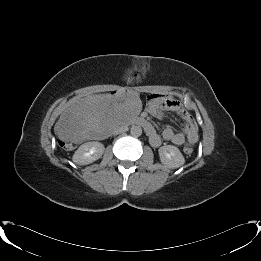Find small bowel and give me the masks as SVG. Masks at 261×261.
I'll use <instances>...</instances> for the list:
<instances>
[{"label": "small bowel", "mask_w": 261, "mask_h": 261, "mask_svg": "<svg viewBox=\"0 0 261 261\" xmlns=\"http://www.w3.org/2000/svg\"><path fill=\"white\" fill-rule=\"evenodd\" d=\"M164 109L175 112L184 123V133L175 132L172 128L167 127L162 132V137L164 140L170 141L175 145L189 144L194 145L198 140V126L196 122L192 119L189 112L183 107L182 104L175 98L168 94H154L152 96V103L148 108V113L154 118L161 119L165 116ZM152 129L150 131L149 138L153 146H159L161 143V138L156 133L154 127L151 125Z\"/></svg>", "instance_id": "c3829d8e"}]
</instances>
